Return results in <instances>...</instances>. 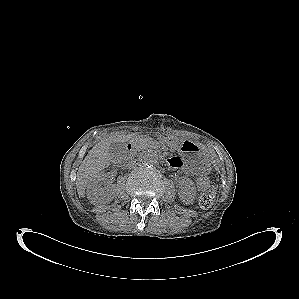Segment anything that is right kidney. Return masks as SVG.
<instances>
[{
    "mask_svg": "<svg viewBox=\"0 0 299 299\" xmlns=\"http://www.w3.org/2000/svg\"><path fill=\"white\" fill-rule=\"evenodd\" d=\"M106 178L104 172H99L89 181L87 185V198L92 204L108 203L114 198V185L101 186V181Z\"/></svg>",
    "mask_w": 299,
    "mask_h": 299,
    "instance_id": "ca27d5eb",
    "label": "right kidney"
}]
</instances>
